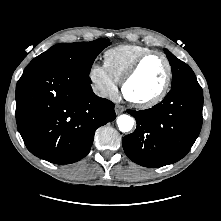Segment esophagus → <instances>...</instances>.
Here are the masks:
<instances>
[{"label":"esophagus","instance_id":"1","mask_svg":"<svg viewBox=\"0 0 221 221\" xmlns=\"http://www.w3.org/2000/svg\"><path fill=\"white\" fill-rule=\"evenodd\" d=\"M124 110H125V107H124V106H122V105H120V104H116V105H115V113H116L117 115L123 113Z\"/></svg>","mask_w":221,"mask_h":221}]
</instances>
